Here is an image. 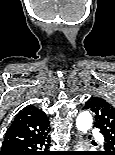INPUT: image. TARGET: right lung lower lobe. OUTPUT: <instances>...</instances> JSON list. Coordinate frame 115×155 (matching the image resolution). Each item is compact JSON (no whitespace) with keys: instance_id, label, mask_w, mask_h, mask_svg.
Wrapping results in <instances>:
<instances>
[{"instance_id":"right-lung-lower-lobe-1","label":"right lung lower lobe","mask_w":115,"mask_h":155,"mask_svg":"<svg viewBox=\"0 0 115 155\" xmlns=\"http://www.w3.org/2000/svg\"><path fill=\"white\" fill-rule=\"evenodd\" d=\"M50 136L36 138L21 144L2 149L0 155H50L44 147H48ZM44 149V150H43Z\"/></svg>"}]
</instances>
